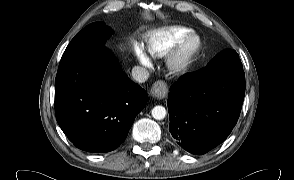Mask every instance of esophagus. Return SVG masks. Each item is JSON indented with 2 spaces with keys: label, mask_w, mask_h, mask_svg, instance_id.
<instances>
[{
  "label": "esophagus",
  "mask_w": 294,
  "mask_h": 180,
  "mask_svg": "<svg viewBox=\"0 0 294 180\" xmlns=\"http://www.w3.org/2000/svg\"><path fill=\"white\" fill-rule=\"evenodd\" d=\"M150 94L153 98H156V99L165 98L168 94V87L166 82L162 80L156 81L150 90Z\"/></svg>",
  "instance_id": "obj_1"
}]
</instances>
